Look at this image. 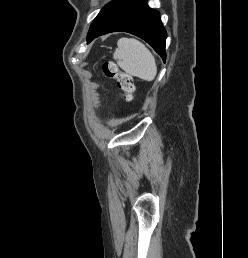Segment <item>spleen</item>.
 Segmentation results:
<instances>
[{"instance_id":"obj_1","label":"spleen","mask_w":248,"mask_h":258,"mask_svg":"<svg viewBox=\"0 0 248 258\" xmlns=\"http://www.w3.org/2000/svg\"><path fill=\"white\" fill-rule=\"evenodd\" d=\"M113 59L126 73L144 81H153L157 74L156 61L149 49L134 38H121Z\"/></svg>"}]
</instances>
